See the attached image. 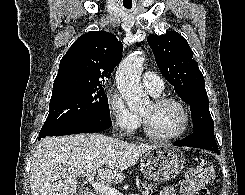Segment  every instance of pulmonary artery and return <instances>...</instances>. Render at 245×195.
Masks as SVG:
<instances>
[{
	"label": "pulmonary artery",
	"mask_w": 245,
	"mask_h": 195,
	"mask_svg": "<svg viewBox=\"0 0 245 195\" xmlns=\"http://www.w3.org/2000/svg\"><path fill=\"white\" fill-rule=\"evenodd\" d=\"M142 86L153 96L160 94L164 89L163 80L152 71H146L143 74Z\"/></svg>",
	"instance_id": "1"
}]
</instances>
